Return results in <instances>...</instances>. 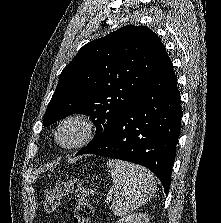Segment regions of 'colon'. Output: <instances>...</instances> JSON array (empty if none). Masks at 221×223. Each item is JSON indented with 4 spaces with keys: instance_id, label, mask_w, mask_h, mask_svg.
Instances as JSON below:
<instances>
[{
    "instance_id": "obj_1",
    "label": "colon",
    "mask_w": 221,
    "mask_h": 223,
    "mask_svg": "<svg viewBox=\"0 0 221 223\" xmlns=\"http://www.w3.org/2000/svg\"><path fill=\"white\" fill-rule=\"evenodd\" d=\"M89 194V189L76 178L60 181L47 191L44 210L53 212L60 207L63 199L73 198L76 202L73 223H90L93 208L89 203Z\"/></svg>"
}]
</instances>
